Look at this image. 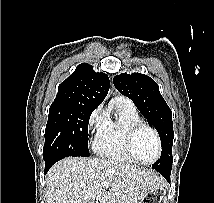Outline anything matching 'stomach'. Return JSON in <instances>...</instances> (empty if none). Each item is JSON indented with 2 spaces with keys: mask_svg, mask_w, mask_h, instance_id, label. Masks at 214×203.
I'll use <instances>...</instances> for the list:
<instances>
[{
  "mask_svg": "<svg viewBox=\"0 0 214 203\" xmlns=\"http://www.w3.org/2000/svg\"><path fill=\"white\" fill-rule=\"evenodd\" d=\"M140 203H169L165 187L159 186L147 192Z\"/></svg>",
  "mask_w": 214,
  "mask_h": 203,
  "instance_id": "1",
  "label": "stomach"
}]
</instances>
